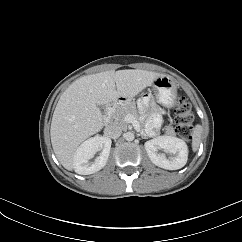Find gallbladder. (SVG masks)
Segmentation results:
<instances>
[{
	"mask_svg": "<svg viewBox=\"0 0 242 242\" xmlns=\"http://www.w3.org/2000/svg\"><path fill=\"white\" fill-rule=\"evenodd\" d=\"M98 108L100 109V111L101 112H105V105H102V104H100V105H98Z\"/></svg>",
	"mask_w": 242,
	"mask_h": 242,
	"instance_id": "1",
	"label": "gallbladder"
}]
</instances>
